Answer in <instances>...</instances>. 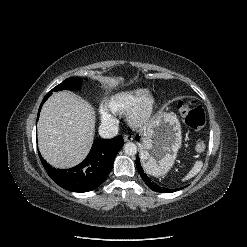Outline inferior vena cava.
<instances>
[{"mask_svg":"<svg viewBox=\"0 0 247 247\" xmlns=\"http://www.w3.org/2000/svg\"><path fill=\"white\" fill-rule=\"evenodd\" d=\"M99 134L102 138H113L118 134V126L109 122L102 123L99 127Z\"/></svg>","mask_w":247,"mask_h":247,"instance_id":"602c4592","label":"inferior vena cava"}]
</instances>
